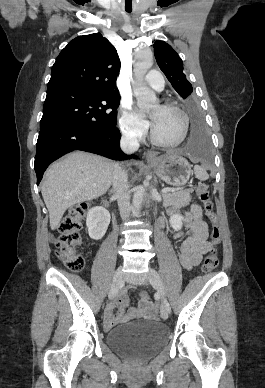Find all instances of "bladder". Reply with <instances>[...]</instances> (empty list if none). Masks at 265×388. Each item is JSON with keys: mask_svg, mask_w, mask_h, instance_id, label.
<instances>
[{"mask_svg": "<svg viewBox=\"0 0 265 388\" xmlns=\"http://www.w3.org/2000/svg\"><path fill=\"white\" fill-rule=\"evenodd\" d=\"M107 345L131 356H147L164 347L167 330L155 320L131 322L107 334Z\"/></svg>", "mask_w": 265, "mask_h": 388, "instance_id": "obj_1", "label": "bladder"}]
</instances>
